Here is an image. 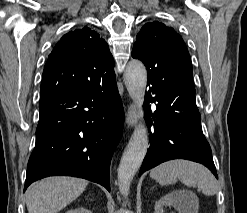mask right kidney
<instances>
[{
  "label": "right kidney",
  "instance_id": "right-kidney-1",
  "mask_svg": "<svg viewBox=\"0 0 247 213\" xmlns=\"http://www.w3.org/2000/svg\"><path fill=\"white\" fill-rule=\"evenodd\" d=\"M65 213H92V212L84 207H78L75 209L68 210Z\"/></svg>",
  "mask_w": 247,
  "mask_h": 213
}]
</instances>
